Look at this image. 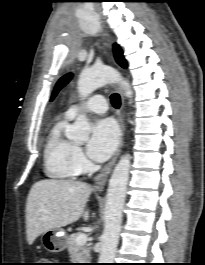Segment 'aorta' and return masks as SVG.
<instances>
[{
	"label": "aorta",
	"instance_id": "aorta-1",
	"mask_svg": "<svg viewBox=\"0 0 205 265\" xmlns=\"http://www.w3.org/2000/svg\"><path fill=\"white\" fill-rule=\"evenodd\" d=\"M116 82L124 89L125 95L132 98L133 92L128 81L124 80L114 68L105 65L84 69L79 76L77 88L80 96L86 98L97 88ZM89 132L90 124L86 116L80 115L68 131L67 137L73 141L84 142L88 140ZM130 159L129 154L123 155L109 180L99 263H113L115 258L129 179Z\"/></svg>",
	"mask_w": 205,
	"mask_h": 265
}]
</instances>
